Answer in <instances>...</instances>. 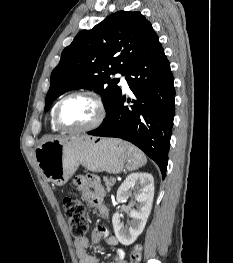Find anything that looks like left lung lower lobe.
<instances>
[{
    "label": "left lung lower lobe",
    "mask_w": 233,
    "mask_h": 263,
    "mask_svg": "<svg viewBox=\"0 0 233 263\" xmlns=\"http://www.w3.org/2000/svg\"><path fill=\"white\" fill-rule=\"evenodd\" d=\"M126 81L135 98L120 96L99 128L89 135L117 137L144 151L166 176L174 119L175 88L170 63L158 36L130 66Z\"/></svg>",
    "instance_id": "1"
}]
</instances>
